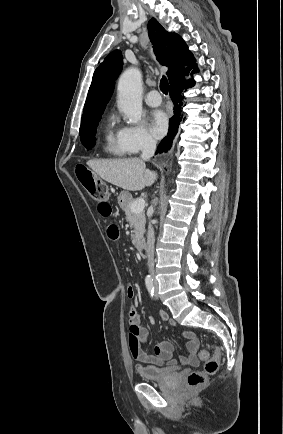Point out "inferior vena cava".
<instances>
[{"label":"inferior vena cava","mask_w":283,"mask_h":434,"mask_svg":"<svg viewBox=\"0 0 283 434\" xmlns=\"http://www.w3.org/2000/svg\"><path fill=\"white\" fill-rule=\"evenodd\" d=\"M156 149V142L152 138H147L144 144V148L142 150L141 158L143 160H149L155 152ZM154 243H155V237H154V230L149 223L148 226V233H147V258H148V267H149V273L154 276Z\"/></svg>","instance_id":"602c4592"}]
</instances>
